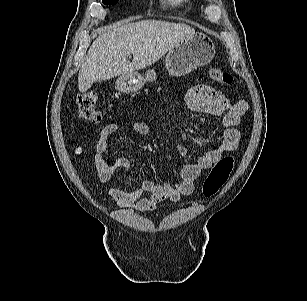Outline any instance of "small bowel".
Instances as JSON below:
<instances>
[{"instance_id":"obj_1","label":"small bowel","mask_w":307,"mask_h":301,"mask_svg":"<svg viewBox=\"0 0 307 301\" xmlns=\"http://www.w3.org/2000/svg\"><path fill=\"white\" fill-rule=\"evenodd\" d=\"M185 102L193 111L222 117L224 132L221 145L217 149L204 153L195 163L185 166L181 171L179 181L174 185L146 180L140 188L134 190L110 188L108 194L118 207L145 212L154 210L165 200L176 202L181 196L194 192L196 180L204 171L211 169L224 153L238 149L241 136L237 126L248 110V103L233 102L220 91L202 84L195 85L187 91ZM117 128V124L109 123L101 129L98 135L95 164L101 183L109 181L115 171L128 169L131 166L130 160L125 156L112 159L104 157L109 147V138ZM132 128L142 136L151 134L150 126L144 122H134ZM178 150L183 156L188 154V149L182 144L178 145ZM145 193H147L146 196Z\"/></svg>"}]
</instances>
